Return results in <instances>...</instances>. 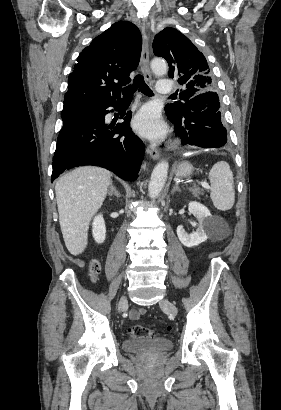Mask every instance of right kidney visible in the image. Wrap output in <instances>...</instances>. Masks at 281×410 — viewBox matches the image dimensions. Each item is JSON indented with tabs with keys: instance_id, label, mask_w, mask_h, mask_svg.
<instances>
[{
	"instance_id": "right-kidney-1",
	"label": "right kidney",
	"mask_w": 281,
	"mask_h": 410,
	"mask_svg": "<svg viewBox=\"0 0 281 410\" xmlns=\"http://www.w3.org/2000/svg\"><path fill=\"white\" fill-rule=\"evenodd\" d=\"M92 235L97 243L101 244L104 242L106 237V226L102 214H99L94 218L92 224Z\"/></svg>"
}]
</instances>
